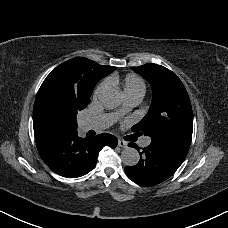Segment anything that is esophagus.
I'll use <instances>...</instances> for the list:
<instances>
[{"label": "esophagus", "mask_w": 228, "mask_h": 228, "mask_svg": "<svg viewBox=\"0 0 228 228\" xmlns=\"http://www.w3.org/2000/svg\"><path fill=\"white\" fill-rule=\"evenodd\" d=\"M118 146L121 147V148H127L128 144H127L126 141H124L123 139L119 138Z\"/></svg>", "instance_id": "1"}]
</instances>
